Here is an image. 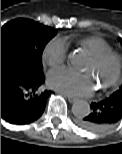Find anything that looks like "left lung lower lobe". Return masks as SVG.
<instances>
[{"label": "left lung lower lobe", "mask_w": 122, "mask_h": 154, "mask_svg": "<svg viewBox=\"0 0 122 154\" xmlns=\"http://www.w3.org/2000/svg\"><path fill=\"white\" fill-rule=\"evenodd\" d=\"M90 108V113L78 121V125L87 131H105L122 119V101L112 96L92 103Z\"/></svg>", "instance_id": "0a47b994"}]
</instances>
